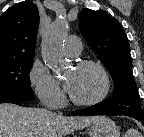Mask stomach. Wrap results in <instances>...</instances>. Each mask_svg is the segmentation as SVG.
<instances>
[{
	"label": "stomach",
	"mask_w": 144,
	"mask_h": 137,
	"mask_svg": "<svg viewBox=\"0 0 144 137\" xmlns=\"http://www.w3.org/2000/svg\"><path fill=\"white\" fill-rule=\"evenodd\" d=\"M90 137H120V129L107 117H100L99 120L90 126Z\"/></svg>",
	"instance_id": "obj_1"
}]
</instances>
